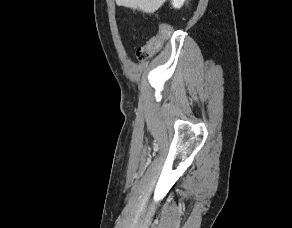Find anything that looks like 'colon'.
<instances>
[{"instance_id":"obj_1","label":"colon","mask_w":292,"mask_h":228,"mask_svg":"<svg viewBox=\"0 0 292 228\" xmlns=\"http://www.w3.org/2000/svg\"><path fill=\"white\" fill-rule=\"evenodd\" d=\"M170 30L168 27L163 26L161 29V36L149 40L144 46L137 50V57L140 61L146 60L151 56L161 45L162 39L168 36Z\"/></svg>"}]
</instances>
